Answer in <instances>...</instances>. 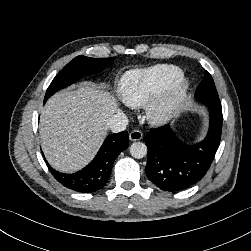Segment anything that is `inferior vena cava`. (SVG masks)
Here are the masks:
<instances>
[{"mask_svg":"<svg viewBox=\"0 0 251 251\" xmlns=\"http://www.w3.org/2000/svg\"><path fill=\"white\" fill-rule=\"evenodd\" d=\"M107 125L112 132H121L126 129L128 125V119L124 113L118 112L109 119Z\"/></svg>","mask_w":251,"mask_h":251,"instance_id":"obj_1","label":"inferior vena cava"}]
</instances>
